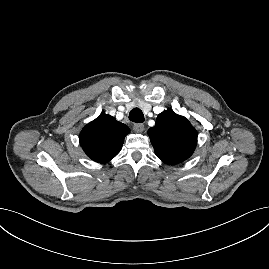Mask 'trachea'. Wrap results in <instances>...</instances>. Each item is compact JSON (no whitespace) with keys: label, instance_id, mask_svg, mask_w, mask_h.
<instances>
[{"label":"trachea","instance_id":"1","mask_svg":"<svg viewBox=\"0 0 269 269\" xmlns=\"http://www.w3.org/2000/svg\"><path fill=\"white\" fill-rule=\"evenodd\" d=\"M129 119H130V121L135 122V123L144 122V115H143L141 109H139V108L132 109L129 113Z\"/></svg>","mask_w":269,"mask_h":269}]
</instances>
